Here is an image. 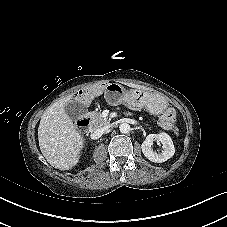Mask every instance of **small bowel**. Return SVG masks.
<instances>
[{
	"instance_id": "c3829d8e",
	"label": "small bowel",
	"mask_w": 227,
	"mask_h": 227,
	"mask_svg": "<svg viewBox=\"0 0 227 227\" xmlns=\"http://www.w3.org/2000/svg\"><path fill=\"white\" fill-rule=\"evenodd\" d=\"M174 124V114L171 109H167L165 113L159 118L158 125L165 129L170 130Z\"/></svg>"
}]
</instances>
